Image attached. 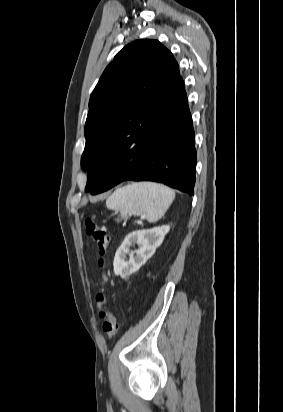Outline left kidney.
<instances>
[{"label": "left kidney", "instance_id": "obj_1", "mask_svg": "<svg viewBox=\"0 0 283 412\" xmlns=\"http://www.w3.org/2000/svg\"><path fill=\"white\" fill-rule=\"evenodd\" d=\"M169 230L168 225H163L129 233L115 254L113 262L115 275L127 278L138 271L153 256ZM135 244L138 245V249L130 253L129 248ZM127 254L129 255L128 260Z\"/></svg>", "mask_w": 283, "mask_h": 412}]
</instances>
